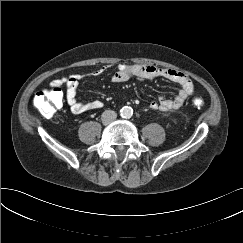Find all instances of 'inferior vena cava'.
Returning a JSON list of instances; mask_svg holds the SVG:
<instances>
[{
  "label": "inferior vena cava",
  "mask_w": 243,
  "mask_h": 243,
  "mask_svg": "<svg viewBox=\"0 0 243 243\" xmlns=\"http://www.w3.org/2000/svg\"><path fill=\"white\" fill-rule=\"evenodd\" d=\"M117 118V114L113 110H106L103 112L101 120L104 125H109Z\"/></svg>",
  "instance_id": "inferior-vena-cava-1"
}]
</instances>
